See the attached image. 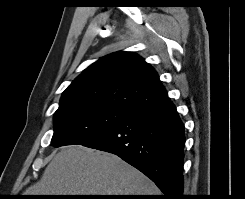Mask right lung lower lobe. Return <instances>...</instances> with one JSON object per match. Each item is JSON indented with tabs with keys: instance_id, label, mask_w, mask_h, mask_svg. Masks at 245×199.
Instances as JSON below:
<instances>
[{
	"instance_id": "98d812e1",
	"label": "right lung lower lobe",
	"mask_w": 245,
	"mask_h": 199,
	"mask_svg": "<svg viewBox=\"0 0 245 199\" xmlns=\"http://www.w3.org/2000/svg\"><path fill=\"white\" fill-rule=\"evenodd\" d=\"M184 126L169 98L134 110L82 145L113 153L149 177L164 193L182 199Z\"/></svg>"
}]
</instances>
